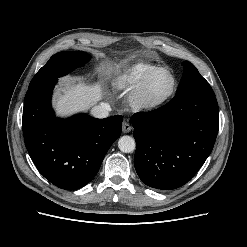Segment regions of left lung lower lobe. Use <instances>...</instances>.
Listing matches in <instances>:
<instances>
[{"label":"left lung lower lobe","instance_id":"left-lung-lower-lobe-1","mask_svg":"<svg viewBox=\"0 0 247 247\" xmlns=\"http://www.w3.org/2000/svg\"><path fill=\"white\" fill-rule=\"evenodd\" d=\"M134 166L143 183L161 189L186 184L210 155L219 127L213 90L190 89L164 106L132 116Z\"/></svg>","mask_w":247,"mask_h":247}]
</instances>
